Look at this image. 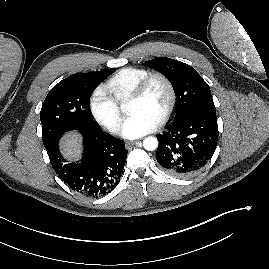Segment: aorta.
Wrapping results in <instances>:
<instances>
[{"instance_id":"aorta-1","label":"aorta","mask_w":269,"mask_h":269,"mask_svg":"<svg viewBox=\"0 0 269 269\" xmlns=\"http://www.w3.org/2000/svg\"><path fill=\"white\" fill-rule=\"evenodd\" d=\"M143 146L146 150L153 151L158 147V140L153 136L147 137L143 141Z\"/></svg>"}]
</instances>
